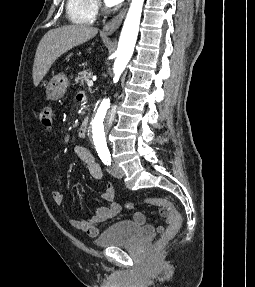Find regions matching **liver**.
Wrapping results in <instances>:
<instances>
[{"instance_id": "obj_1", "label": "liver", "mask_w": 255, "mask_h": 287, "mask_svg": "<svg viewBox=\"0 0 255 287\" xmlns=\"http://www.w3.org/2000/svg\"><path fill=\"white\" fill-rule=\"evenodd\" d=\"M96 34H98V28H91V26H62V28L49 30L36 50L33 64L34 86H39L52 64L62 54L92 40Z\"/></svg>"}]
</instances>
